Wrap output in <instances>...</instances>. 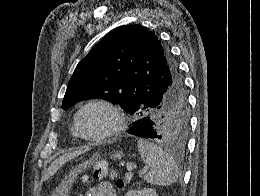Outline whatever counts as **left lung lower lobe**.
<instances>
[{
  "mask_svg": "<svg viewBox=\"0 0 260 196\" xmlns=\"http://www.w3.org/2000/svg\"><path fill=\"white\" fill-rule=\"evenodd\" d=\"M129 134H133L135 136L151 139L157 141L159 136L154 129V123L147 118H142L135 121L130 130L127 131Z\"/></svg>",
  "mask_w": 260,
  "mask_h": 196,
  "instance_id": "obj_1",
  "label": "left lung lower lobe"
}]
</instances>
